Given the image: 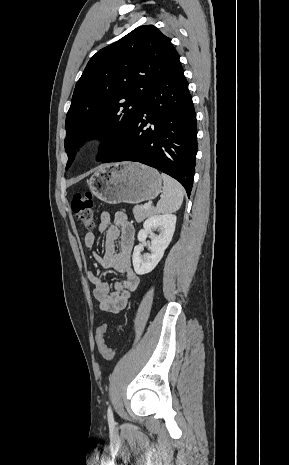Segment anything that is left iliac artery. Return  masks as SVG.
<instances>
[{
    "label": "left iliac artery",
    "instance_id": "obj_1",
    "mask_svg": "<svg viewBox=\"0 0 289 465\" xmlns=\"http://www.w3.org/2000/svg\"><path fill=\"white\" fill-rule=\"evenodd\" d=\"M107 416H108L109 424L113 425L114 424V418H113V412H112V409H111L110 406L108 407Z\"/></svg>",
    "mask_w": 289,
    "mask_h": 465
}]
</instances>
